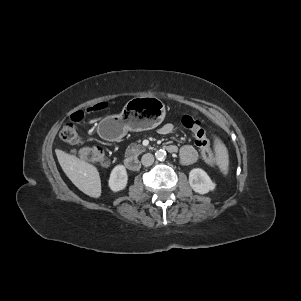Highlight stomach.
I'll return each instance as SVG.
<instances>
[{
    "instance_id": "stomach-1",
    "label": "stomach",
    "mask_w": 301,
    "mask_h": 301,
    "mask_svg": "<svg viewBox=\"0 0 301 301\" xmlns=\"http://www.w3.org/2000/svg\"><path fill=\"white\" fill-rule=\"evenodd\" d=\"M164 117L165 108L158 98L135 97L126 103L121 114L103 119L98 131L105 139L117 141L128 131H145L157 127Z\"/></svg>"
}]
</instances>
